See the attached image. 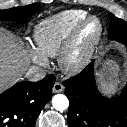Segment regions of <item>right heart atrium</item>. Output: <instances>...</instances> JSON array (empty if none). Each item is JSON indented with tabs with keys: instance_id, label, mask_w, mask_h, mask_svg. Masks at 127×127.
Wrapping results in <instances>:
<instances>
[{
	"instance_id": "d8ad5b80",
	"label": "right heart atrium",
	"mask_w": 127,
	"mask_h": 127,
	"mask_svg": "<svg viewBox=\"0 0 127 127\" xmlns=\"http://www.w3.org/2000/svg\"><path fill=\"white\" fill-rule=\"evenodd\" d=\"M27 54L31 61L39 66H46L48 63V60L45 56H43L37 48L33 46L27 47Z\"/></svg>"
}]
</instances>
